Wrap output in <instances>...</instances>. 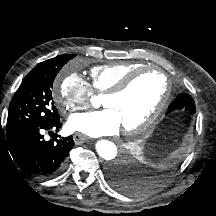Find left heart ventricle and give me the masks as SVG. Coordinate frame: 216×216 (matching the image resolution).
<instances>
[{"mask_svg": "<svg viewBox=\"0 0 216 216\" xmlns=\"http://www.w3.org/2000/svg\"><path fill=\"white\" fill-rule=\"evenodd\" d=\"M164 91V78L157 71H148L138 76L125 93L103 98L102 103L115 111L122 128H128L139 124L155 109Z\"/></svg>", "mask_w": 216, "mask_h": 216, "instance_id": "b2bd125f", "label": "left heart ventricle"}]
</instances>
